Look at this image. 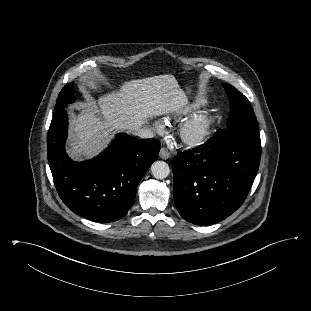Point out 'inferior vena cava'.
Listing matches in <instances>:
<instances>
[{
  "label": "inferior vena cava",
  "mask_w": 311,
  "mask_h": 311,
  "mask_svg": "<svg viewBox=\"0 0 311 311\" xmlns=\"http://www.w3.org/2000/svg\"><path fill=\"white\" fill-rule=\"evenodd\" d=\"M134 134L136 136H139L143 139H147V138H153L154 137V133L151 129L147 128V127H143V128H140L138 130H136L134 132Z\"/></svg>",
  "instance_id": "1"
}]
</instances>
